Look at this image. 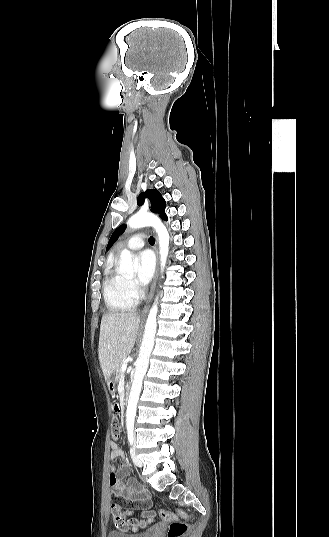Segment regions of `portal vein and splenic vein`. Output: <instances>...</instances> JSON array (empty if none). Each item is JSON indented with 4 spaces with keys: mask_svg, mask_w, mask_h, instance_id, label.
Instances as JSON below:
<instances>
[{
    "mask_svg": "<svg viewBox=\"0 0 329 537\" xmlns=\"http://www.w3.org/2000/svg\"><path fill=\"white\" fill-rule=\"evenodd\" d=\"M121 369H122L123 372L126 371V369H127V364H123L122 367H121Z\"/></svg>",
    "mask_w": 329,
    "mask_h": 537,
    "instance_id": "18ae733b",
    "label": "portal vein and splenic vein"
}]
</instances>
